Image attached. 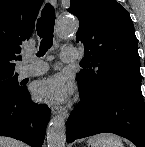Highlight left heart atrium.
<instances>
[{"label": "left heart atrium", "mask_w": 145, "mask_h": 147, "mask_svg": "<svg viewBox=\"0 0 145 147\" xmlns=\"http://www.w3.org/2000/svg\"><path fill=\"white\" fill-rule=\"evenodd\" d=\"M70 93V87L59 76H53L38 81L33 88L34 98L39 101L59 103L64 101Z\"/></svg>", "instance_id": "left-heart-atrium-1"}]
</instances>
